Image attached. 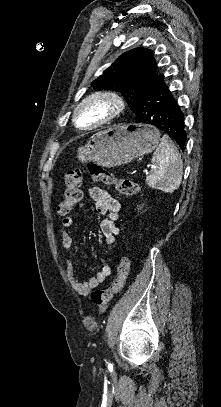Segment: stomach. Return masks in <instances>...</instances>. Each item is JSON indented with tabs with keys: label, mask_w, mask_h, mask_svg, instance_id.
Returning <instances> with one entry per match:
<instances>
[{
	"label": "stomach",
	"mask_w": 221,
	"mask_h": 407,
	"mask_svg": "<svg viewBox=\"0 0 221 407\" xmlns=\"http://www.w3.org/2000/svg\"><path fill=\"white\" fill-rule=\"evenodd\" d=\"M160 132L144 124H126L95 133L77 149L82 163L96 162L104 167L130 163L152 152L159 143Z\"/></svg>",
	"instance_id": "stomach-1"
}]
</instances>
